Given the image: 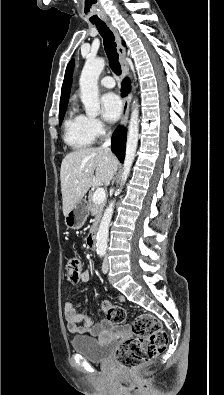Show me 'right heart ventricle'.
<instances>
[{"instance_id": "1", "label": "right heart ventricle", "mask_w": 224, "mask_h": 395, "mask_svg": "<svg viewBox=\"0 0 224 395\" xmlns=\"http://www.w3.org/2000/svg\"><path fill=\"white\" fill-rule=\"evenodd\" d=\"M65 142L75 149H84L93 144L95 136L90 131L87 117L75 109L69 112L65 121Z\"/></svg>"}]
</instances>
